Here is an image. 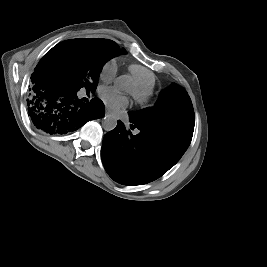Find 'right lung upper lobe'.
I'll return each instance as SVG.
<instances>
[{
    "mask_svg": "<svg viewBox=\"0 0 267 267\" xmlns=\"http://www.w3.org/2000/svg\"><path fill=\"white\" fill-rule=\"evenodd\" d=\"M82 39H85V38H82ZM87 39H90V40H98V41H102V42L108 43V44H110L112 47H114L115 50H117L118 52H120L118 45H117L114 41H112V40H108V39H99V38H87Z\"/></svg>",
    "mask_w": 267,
    "mask_h": 267,
    "instance_id": "1",
    "label": "right lung upper lobe"
}]
</instances>
